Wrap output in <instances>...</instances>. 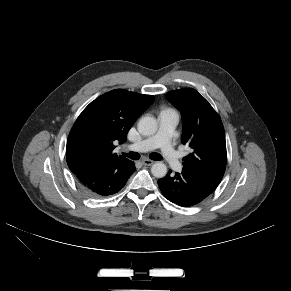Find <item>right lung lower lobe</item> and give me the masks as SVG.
Here are the masks:
<instances>
[{
	"label": "right lung lower lobe",
	"mask_w": 291,
	"mask_h": 291,
	"mask_svg": "<svg viewBox=\"0 0 291 291\" xmlns=\"http://www.w3.org/2000/svg\"><path fill=\"white\" fill-rule=\"evenodd\" d=\"M135 169L130 160H108L92 163L74 174L82 191L96 198L119 192Z\"/></svg>",
	"instance_id": "right-lung-lower-lobe-1"
}]
</instances>
